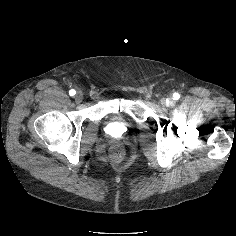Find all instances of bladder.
I'll return each instance as SVG.
<instances>
[{
    "label": "bladder",
    "mask_w": 236,
    "mask_h": 236,
    "mask_svg": "<svg viewBox=\"0 0 236 236\" xmlns=\"http://www.w3.org/2000/svg\"><path fill=\"white\" fill-rule=\"evenodd\" d=\"M130 129V123L124 119H116L111 121L108 126L107 130L111 134L115 135H122L128 132Z\"/></svg>",
    "instance_id": "31cf9c89"
}]
</instances>
